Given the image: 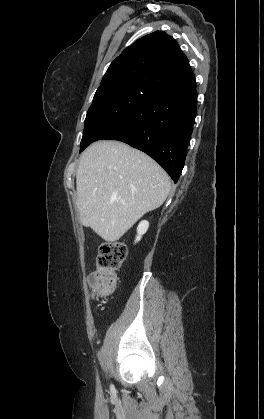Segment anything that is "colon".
I'll use <instances>...</instances> for the list:
<instances>
[{"mask_svg":"<svg viewBox=\"0 0 264 419\" xmlns=\"http://www.w3.org/2000/svg\"><path fill=\"white\" fill-rule=\"evenodd\" d=\"M127 255V248L121 242L103 243L98 250L97 265L90 275L89 285L94 295L107 296L116 287V273Z\"/></svg>","mask_w":264,"mask_h":419,"instance_id":"obj_1","label":"colon"}]
</instances>
